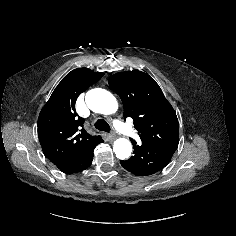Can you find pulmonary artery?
Instances as JSON below:
<instances>
[{"mask_svg":"<svg viewBox=\"0 0 236 236\" xmlns=\"http://www.w3.org/2000/svg\"><path fill=\"white\" fill-rule=\"evenodd\" d=\"M114 124H115L116 129H117L119 132H121V133H123V134H125V135H133V134H134L133 132H130V131H129V129L127 128V126H126L124 123H122V122L116 120V121L114 122Z\"/></svg>","mask_w":236,"mask_h":236,"instance_id":"obj_1","label":"pulmonary artery"}]
</instances>
